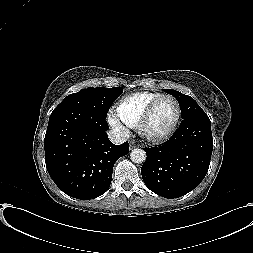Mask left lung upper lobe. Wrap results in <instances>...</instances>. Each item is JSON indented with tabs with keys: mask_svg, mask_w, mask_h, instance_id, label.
I'll return each mask as SVG.
<instances>
[{
	"mask_svg": "<svg viewBox=\"0 0 253 253\" xmlns=\"http://www.w3.org/2000/svg\"><path fill=\"white\" fill-rule=\"evenodd\" d=\"M163 91L173 95L177 99L180 105L182 119L193 115L206 114L192 97L176 90L163 89Z\"/></svg>",
	"mask_w": 253,
	"mask_h": 253,
	"instance_id": "left-lung-upper-lobe-1",
	"label": "left lung upper lobe"
}]
</instances>
